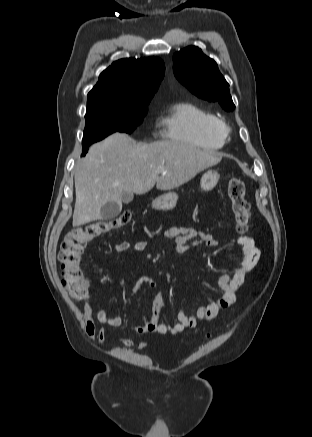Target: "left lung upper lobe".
<instances>
[{
    "label": "left lung upper lobe",
    "instance_id": "5c2ea615",
    "mask_svg": "<svg viewBox=\"0 0 312 437\" xmlns=\"http://www.w3.org/2000/svg\"><path fill=\"white\" fill-rule=\"evenodd\" d=\"M176 78L199 98L219 102L223 109L233 111L229 84L220 73L217 63L201 49L190 46L173 55Z\"/></svg>",
    "mask_w": 312,
    "mask_h": 437
}]
</instances>
